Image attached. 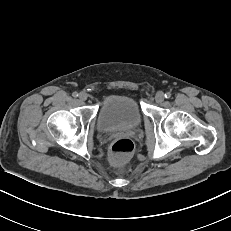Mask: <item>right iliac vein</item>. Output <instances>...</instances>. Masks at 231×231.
Wrapping results in <instances>:
<instances>
[{
  "mask_svg": "<svg viewBox=\"0 0 231 231\" xmlns=\"http://www.w3.org/2000/svg\"><path fill=\"white\" fill-rule=\"evenodd\" d=\"M78 97L81 101H86L88 99V94L83 91L79 93Z\"/></svg>",
  "mask_w": 231,
  "mask_h": 231,
  "instance_id": "1",
  "label": "right iliac vein"
}]
</instances>
